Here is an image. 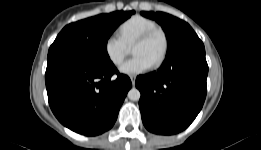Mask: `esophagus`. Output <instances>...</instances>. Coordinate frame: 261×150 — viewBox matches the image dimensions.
<instances>
[{
  "mask_svg": "<svg viewBox=\"0 0 261 150\" xmlns=\"http://www.w3.org/2000/svg\"><path fill=\"white\" fill-rule=\"evenodd\" d=\"M130 79H131L132 85L134 86L135 85L136 76H130Z\"/></svg>",
  "mask_w": 261,
  "mask_h": 150,
  "instance_id": "34e87169",
  "label": "esophagus"
}]
</instances>
